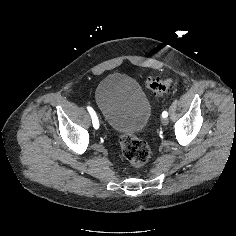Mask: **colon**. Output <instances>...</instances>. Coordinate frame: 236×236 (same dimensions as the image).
I'll return each instance as SVG.
<instances>
[{"label": "colon", "instance_id": "5ec220e1", "mask_svg": "<svg viewBox=\"0 0 236 236\" xmlns=\"http://www.w3.org/2000/svg\"><path fill=\"white\" fill-rule=\"evenodd\" d=\"M145 84L148 90L158 95H165L174 87L173 81L169 78H149ZM120 147L123 156L133 168L143 167L150 158L149 145L136 135H121Z\"/></svg>", "mask_w": 236, "mask_h": 236}]
</instances>
